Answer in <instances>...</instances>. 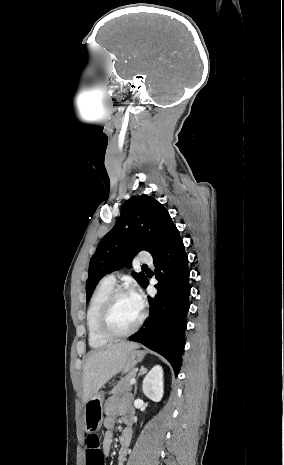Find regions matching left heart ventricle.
<instances>
[{"label":"left heart ventricle","mask_w":284,"mask_h":465,"mask_svg":"<svg viewBox=\"0 0 284 465\" xmlns=\"http://www.w3.org/2000/svg\"><path fill=\"white\" fill-rule=\"evenodd\" d=\"M141 307L131 295L118 299L113 310L111 328L117 335H123L132 330L141 317Z\"/></svg>","instance_id":"b2bd125f"}]
</instances>
